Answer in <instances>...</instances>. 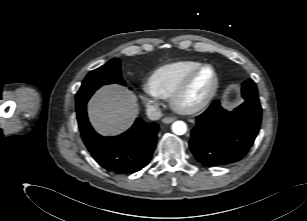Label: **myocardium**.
I'll return each instance as SVG.
<instances>
[{
    "mask_svg": "<svg viewBox=\"0 0 307 221\" xmlns=\"http://www.w3.org/2000/svg\"><path fill=\"white\" fill-rule=\"evenodd\" d=\"M205 69H211L214 75V82L211 90L199 102L191 105H185L183 103L184 98L186 97L187 93L189 92L191 86L193 85L197 77ZM218 88H219V74L216 68L210 64H203L199 68L194 70L171 95L170 106L175 112L180 114L191 115L198 113L203 109H205L212 102L218 91Z\"/></svg>",
    "mask_w": 307,
    "mask_h": 221,
    "instance_id": "f54148a6",
    "label": "myocardium"
}]
</instances>
